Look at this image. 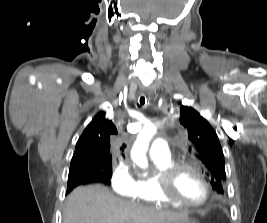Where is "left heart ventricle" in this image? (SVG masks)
I'll return each mask as SVG.
<instances>
[{
  "label": "left heart ventricle",
  "mask_w": 267,
  "mask_h": 223,
  "mask_svg": "<svg viewBox=\"0 0 267 223\" xmlns=\"http://www.w3.org/2000/svg\"><path fill=\"white\" fill-rule=\"evenodd\" d=\"M173 191L187 201L198 202L205 196V186L200 177L193 171L184 169L176 177Z\"/></svg>",
  "instance_id": "1"
}]
</instances>
